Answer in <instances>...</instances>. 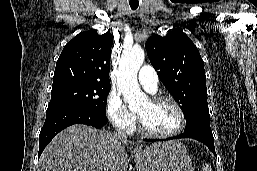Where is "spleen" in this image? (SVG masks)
<instances>
[{"mask_svg": "<svg viewBox=\"0 0 257 171\" xmlns=\"http://www.w3.org/2000/svg\"><path fill=\"white\" fill-rule=\"evenodd\" d=\"M201 171H212V168L209 164L203 165Z\"/></svg>", "mask_w": 257, "mask_h": 171, "instance_id": "3e777b00", "label": "spleen"}]
</instances>
